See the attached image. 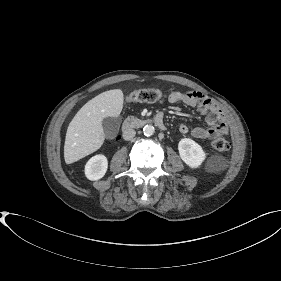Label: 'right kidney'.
<instances>
[{"instance_id":"right-kidney-1","label":"right kidney","mask_w":281,"mask_h":281,"mask_svg":"<svg viewBox=\"0 0 281 281\" xmlns=\"http://www.w3.org/2000/svg\"><path fill=\"white\" fill-rule=\"evenodd\" d=\"M108 168V160L106 156L98 154L88 160L85 165V175L89 180L101 179Z\"/></svg>"}]
</instances>
